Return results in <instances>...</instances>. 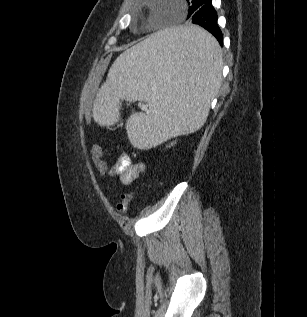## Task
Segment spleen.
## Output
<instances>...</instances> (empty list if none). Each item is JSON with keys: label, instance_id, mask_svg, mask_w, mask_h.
<instances>
[{"label": "spleen", "instance_id": "spleen-1", "mask_svg": "<svg viewBox=\"0 0 307 317\" xmlns=\"http://www.w3.org/2000/svg\"><path fill=\"white\" fill-rule=\"evenodd\" d=\"M222 51L202 26L158 29L122 53L95 99L100 125L119 120L118 99L145 100L152 113L127 121L131 143L147 147L172 134L195 132L205 123L220 88Z\"/></svg>", "mask_w": 307, "mask_h": 317}]
</instances>
